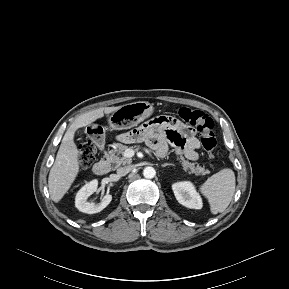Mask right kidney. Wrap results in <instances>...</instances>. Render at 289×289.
<instances>
[{
  "instance_id": "obj_1",
  "label": "right kidney",
  "mask_w": 289,
  "mask_h": 289,
  "mask_svg": "<svg viewBox=\"0 0 289 289\" xmlns=\"http://www.w3.org/2000/svg\"><path fill=\"white\" fill-rule=\"evenodd\" d=\"M97 186L98 181L92 180L78 191L75 198V206L79 211L87 214L98 213L111 202L112 196L109 194H106L98 204L88 201L89 196L97 191Z\"/></svg>"
}]
</instances>
